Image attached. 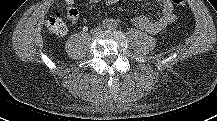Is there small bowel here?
<instances>
[{"label": "small bowel", "instance_id": "obj_1", "mask_svg": "<svg viewBox=\"0 0 217 121\" xmlns=\"http://www.w3.org/2000/svg\"><path fill=\"white\" fill-rule=\"evenodd\" d=\"M102 0H89L90 3H98ZM108 5H114L124 0H103ZM135 1H144V0H135ZM161 7V15L156 20H151L145 15H138L133 18V23L140 29L149 32L156 33L168 24L172 23L175 20V14L173 6L170 0H157ZM66 5V15L67 18L72 22L76 23L79 18V11L74 6L75 0H64Z\"/></svg>", "mask_w": 217, "mask_h": 121}]
</instances>
